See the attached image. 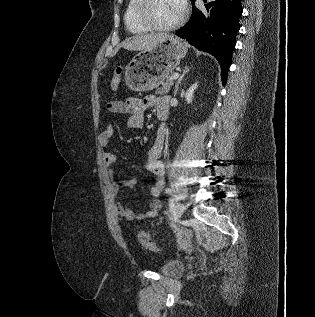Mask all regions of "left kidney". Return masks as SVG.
I'll return each mask as SVG.
<instances>
[{
  "instance_id": "1",
  "label": "left kidney",
  "mask_w": 315,
  "mask_h": 317,
  "mask_svg": "<svg viewBox=\"0 0 315 317\" xmlns=\"http://www.w3.org/2000/svg\"><path fill=\"white\" fill-rule=\"evenodd\" d=\"M198 84H193L186 92V101L187 103H192L193 97H194V91L197 89Z\"/></svg>"
}]
</instances>
